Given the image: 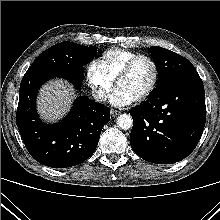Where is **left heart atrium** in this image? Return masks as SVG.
I'll list each match as a JSON object with an SVG mask.
<instances>
[{
  "label": "left heart atrium",
  "instance_id": "left-heart-atrium-1",
  "mask_svg": "<svg viewBox=\"0 0 220 220\" xmlns=\"http://www.w3.org/2000/svg\"><path fill=\"white\" fill-rule=\"evenodd\" d=\"M135 100V97L130 94L124 88L118 86L114 89L110 96V101L115 106H126L131 104Z\"/></svg>",
  "mask_w": 220,
  "mask_h": 220
}]
</instances>
